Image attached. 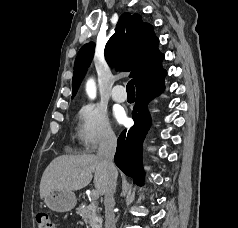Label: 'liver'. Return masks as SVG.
Masks as SVG:
<instances>
[{
    "label": "liver",
    "mask_w": 238,
    "mask_h": 228,
    "mask_svg": "<svg viewBox=\"0 0 238 228\" xmlns=\"http://www.w3.org/2000/svg\"><path fill=\"white\" fill-rule=\"evenodd\" d=\"M99 195H104L109 173L102 158L94 154L63 155L45 169L40 182V198L51 190L76 191L92 180Z\"/></svg>",
    "instance_id": "obj_1"
}]
</instances>
